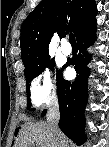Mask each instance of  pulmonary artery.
Here are the masks:
<instances>
[{"label": "pulmonary artery", "instance_id": "obj_1", "mask_svg": "<svg viewBox=\"0 0 109 147\" xmlns=\"http://www.w3.org/2000/svg\"><path fill=\"white\" fill-rule=\"evenodd\" d=\"M61 51L66 56H68V55L71 54L72 49H71V46H70L69 42L65 41L63 43L62 48H61Z\"/></svg>", "mask_w": 109, "mask_h": 147}]
</instances>
